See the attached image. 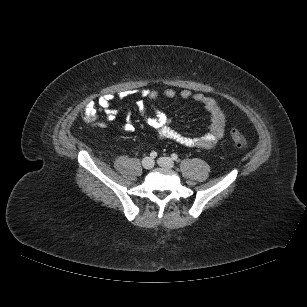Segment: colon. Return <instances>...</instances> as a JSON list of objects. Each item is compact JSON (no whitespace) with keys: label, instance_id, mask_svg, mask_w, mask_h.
Returning a JSON list of instances; mask_svg holds the SVG:
<instances>
[{"label":"colon","instance_id":"5ec220e1","mask_svg":"<svg viewBox=\"0 0 307 307\" xmlns=\"http://www.w3.org/2000/svg\"><path fill=\"white\" fill-rule=\"evenodd\" d=\"M96 115H97V110H96L95 104L92 102L88 103L84 107L83 112H82L83 119L88 123H93L96 119ZM231 137L233 139L234 144L238 148L240 149L247 148V145H248L247 140L241 131H239L236 128H232Z\"/></svg>","mask_w":307,"mask_h":307}]
</instances>
